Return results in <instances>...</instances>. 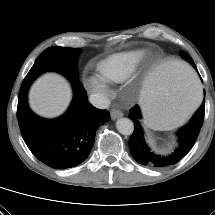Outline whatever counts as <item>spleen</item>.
<instances>
[{"label":"spleen","instance_id":"spleen-1","mask_svg":"<svg viewBox=\"0 0 215 215\" xmlns=\"http://www.w3.org/2000/svg\"><path fill=\"white\" fill-rule=\"evenodd\" d=\"M203 91L202 82L186 61L176 59L159 65L146 78L141 92L146 122L156 130L183 122Z\"/></svg>","mask_w":215,"mask_h":215}]
</instances>
